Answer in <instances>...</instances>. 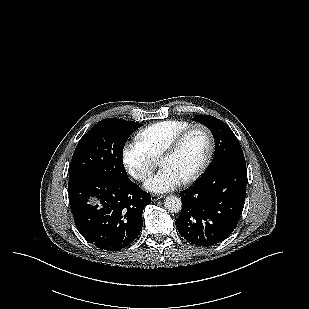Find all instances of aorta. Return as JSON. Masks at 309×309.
<instances>
[{"label": "aorta", "instance_id": "aorta-1", "mask_svg": "<svg viewBox=\"0 0 309 309\" xmlns=\"http://www.w3.org/2000/svg\"><path fill=\"white\" fill-rule=\"evenodd\" d=\"M164 207L171 213H178L182 208V201L180 198L170 195L166 197Z\"/></svg>", "mask_w": 309, "mask_h": 309}]
</instances>
